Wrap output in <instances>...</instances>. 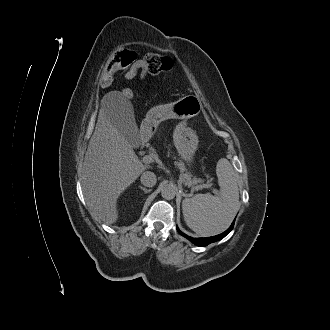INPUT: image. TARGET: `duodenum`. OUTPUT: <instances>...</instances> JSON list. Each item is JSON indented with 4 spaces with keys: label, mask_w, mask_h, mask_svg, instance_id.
I'll return each mask as SVG.
<instances>
[{
    "label": "duodenum",
    "mask_w": 330,
    "mask_h": 330,
    "mask_svg": "<svg viewBox=\"0 0 330 330\" xmlns=\"http://www.w3.org/2000/svg\"><path fill=\"white\" fill-rule=\"evenodd\" d=\"M143 141H144L143 137H139L138 138V142L140 143L139 147L142 146Z\"/></svg>",
    "instance_id": "410a0bca"
}]
</instances>
